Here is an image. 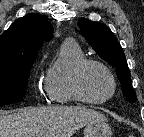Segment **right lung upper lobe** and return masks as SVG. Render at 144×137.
<instances>
[{
    "instance_id": "right-lung-upper-lobe-1",
    "label": "right lung upper lobe",
    "mask_w": 144,
    "mask_h": 137,
    "mask_svg": "<svg viewBox=\"0 0 144 137\" xmlns=\"http://www.w3.org/2000/svg\"><path fill=\"white\" fill-rule=\"evenodd\" d=\"M53 37L52 25L31 13L15 21L0 36V64L36 59L43 41Z\"/></svg>"
}]
</instances>
